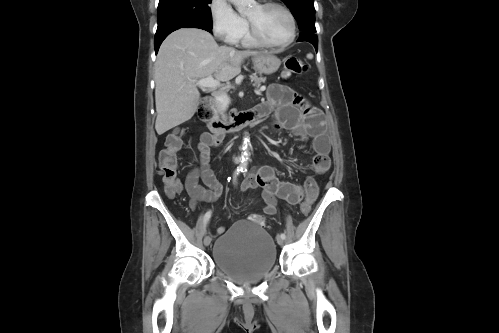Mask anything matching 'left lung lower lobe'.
Masks as SVG:
<instances>
[{"mask_svg": "<svg viewBox=\"0 0 499 333\" xmlns=\"http://www.w3.org/2000/svg\"><path fill=\"white\" fill-rule=\"evenodd\" d=\"M297 41L298 42H301V41L309 42L315 47L316 52L318 50V38H317L315 33H311L308 31H302L300 34V37Z\"/></svg>", "mask_w": 499, "mask_h": 333, "instance_id": "left-lung-lower-lobe-1", "label": "left lung lower lobe"}]
</instances>
